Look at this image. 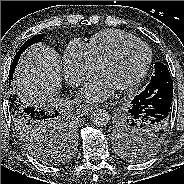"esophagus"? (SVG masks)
Here are the masks:
<instances>
[{
  "label": "esophagus",
  "instance_id": "34e87169",
  "mask_svg": "<svg viewBox=\"0 0 184 184\" xmlns=\"http://www.w3.org/2000/svg\"><path fill=\"white\" fill-rule=\"evenodd\" d=\"M94 108L89 106V105H82L79 108V111L82 115H87L89 114Z\"/></svg>",
  "mask_w": 184,
  "mask_h": 184
}]
</instances>
